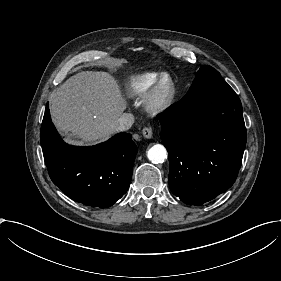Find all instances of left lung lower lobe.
I'll use <instances>...</instances> for the list:
<instances>
[{
  "instance_id": "1",
  "label": "left lung lower lobe",
  "mask_w": 281,
  "mask_h": 281,
  "mask_svg": "<svg viewBox=\"0 0 281 281\" xmlns=\"http://www.w3.org/2000/svg\"><path fill=\"white\" fill-rule=\"evenodd\" d=\"M169 154V187L188 205H202L235 182L246 145L235 92L181 100L158 115Z\"/></svg>"
}]
</instances>
